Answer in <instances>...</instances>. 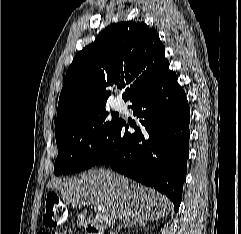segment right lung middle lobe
Instances as JSON below:
<instances>
[{
	"instance_id": "right-lung-middle-lobe-1",
	"label": "right lung middle lobe",
	"mask_w": 241,
	"mask_h": 234,
	"mask_svg": "<svg viewBox=\"0 0 241 234\" xmlns=\"http://www.w3.org/2000/svg\"><path fill=\"white\" fill-rule=\"evenodd\" d=\"M108 119L105 106L82 121L56 131L58 156L55 175H65L91 168L106 150L120 119Z\"/></svg>"
}]
</instances>
